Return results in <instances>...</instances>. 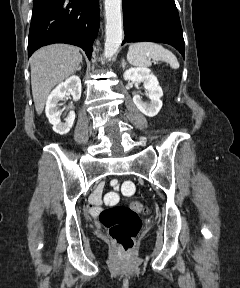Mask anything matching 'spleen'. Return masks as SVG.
Segmentation results:
<instances>
[{"mask_svg": "<svg viewBox=\"0 0 240 288\" xmlns=\"http://www.w3.org/2000/svg\"><path fill=\"white\" fill-rule=\"evenodd\" d=\"M151 59L162 60L170 64L174 69L179 68L175 55L163 46L153 42H138L129 46L127 60L137 67H148Z\"/></svg>", "mask_w": 240, "mask_h": 288, "instance_id": "obj_1", "label": "spleen"}]
</instances>
